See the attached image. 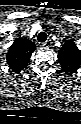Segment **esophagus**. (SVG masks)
<instances>
[{"label": "esophagus", "mask_w": 81, "mask_h": 124, "mask_svg": "<svg viewBox=\"0 0 81 124\" xmlns=\"http://www.w3.org/2000/svg\"><path fill=\"white\" fill-rule=\"evenodd\" d=\"M51 44H52L51 40L48 39V40H46L44 43H42V46H43V47H50Z\"/></svg>", "instance_id": "obj_1"}]
</instances>
